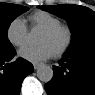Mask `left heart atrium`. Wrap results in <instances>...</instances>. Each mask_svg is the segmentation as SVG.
Here are the masks:
<instances>
[{
  "label": "left heart atrium",
  "mask_w": 95,
  "mask_h": 95,
  "mask_svg": "<svg viewBox=\"0 0 95 95\" xmlns=\"http://www.w3.org/2000/svg\"><path fill=\"white\" fill-rule=\"evenodd\" d=\"M19 55L26 60L38 62L50 58L53 52L47 44H39L21 48Z\"/></svg>",
  "instance_id": "1"
}]
</instances>
